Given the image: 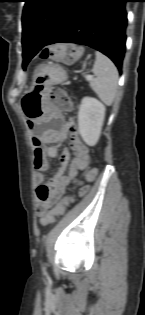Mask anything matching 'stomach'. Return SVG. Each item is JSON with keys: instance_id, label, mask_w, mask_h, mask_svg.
Masks as SVG:
<instances>
[{"instance_id": "stomach-1", "label": "stomach", "mask_w": 145, "mask_h": 315, "mask_svg": "<svg viewBox=\"0 0 145 315\" xmlns=\"http://www.w3.org/2000/svg\"><path fill=\"white\" fill-rule=\"evenodd\" d=\"M67 72L58 65L43 67L35 76L34 85L30 91H25L21 98V112H25L26 120L41 122L47 116L48 105L45 102L46 91H51L54 84L64 82Z\"/></svg>"}]
</instances>
